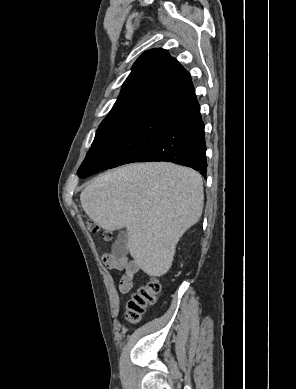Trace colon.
I'll return each instance as SVG.
<instances>
[{"label": "colon", "mask_w": 296, "mask_h": 389, "mask_svg": "<svg viewBox=\"0 0 296 389\" xmlns=\"http://www.w3.org/2000/svg\"><path fill=\"white\" fill-rule=\"evenodd\" d=\"M92 232H98L99 226L94 222L88 224ZM104 239L111 241L114 236L110 231H104ZM161 292V284L157 279H151L140 285L131 295L127 303L126 318L131 323H136L145 310L155 303Z\"/></svg>", "instance_id": "colon-1"}]
</instances>
